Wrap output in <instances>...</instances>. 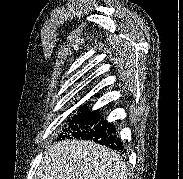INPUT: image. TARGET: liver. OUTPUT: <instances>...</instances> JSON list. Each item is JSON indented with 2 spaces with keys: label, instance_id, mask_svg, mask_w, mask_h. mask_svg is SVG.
Masks as SVG:
<instances>
[{
  "label": "liver",
  "instance_id": "1",
  "mask_svg": "<svg viewBox=\"0 0 183 179\" xmlns=\"http://www.w3.org/2000/svg\"><path fill=\"white\" fill-rule=\"evenodd\" d=\"M126 169L117 152L95 142L67 139L48 148L36 179H126Z\"/></svg>",
  "mask_w": 183,
  "mask_h": 179
}]
</instances>
